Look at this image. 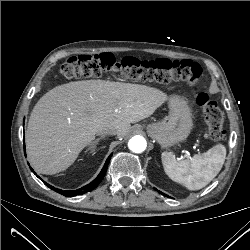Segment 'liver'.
<instances>
[{
    "label": "liver",
    "mask_w": 250,
    "mask_h": 250,
    "mask_svg": "<svg viewBox=\"0 0 250 250\" xmlns=\"http://www.w3.org/2000/svg\"><path fill=\"white\" fill-rule=\"evenodd\" d=\"M167 95L145 85L83 80L59 85L34 106L26 131L28 158L36 171L66 170L100 130L126 136L131 123L150 117Z\"/></svg>",
    "instance_id": "6515ba94"
}]
</instances>
